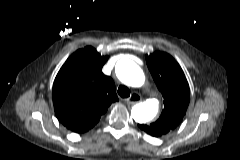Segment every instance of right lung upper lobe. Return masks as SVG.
Masks as SVG:
<instances>
[{"instance_id":"obj_1","label":"right lung upper lobe","mask_w":240,"mask_h":160,"mask_svg":"<svg viewBox=\"0 0 240 160\" xmlns=\"http://www.w3.org/2000/svg\"><path fill=\"white\" fill-rule=\"evenodd\" d=\"M107 56L93 47L77 50L59 70L53 84L56 117L67 129H91L118 97L114 81L102 73Z\"/></svg>"}]
</instances>
